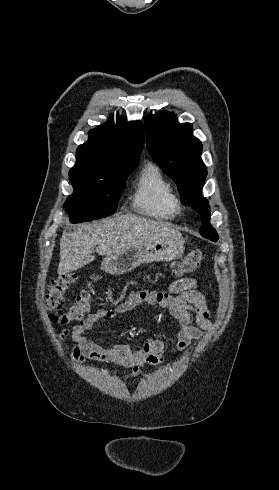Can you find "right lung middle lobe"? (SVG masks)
Listing matches in <instances>:
<instances>
[{
  "instance_id": "obj_1",
  "label": "right lung middle lobe",
  "mask_w": 279,
  "mask_h": 490,
  "mask_svg": "<svg viewBox=\"0 0 279 490\" xmlns=\"http://www.w3.org/2000/svg\"><path fill=\"white\" fill-rule=\"evenodd\" d=\"M136 166L123 167L104 176L86 173L69 174L74 193L65 202L71 223L100 219L113 214L127 175Z\"/></svg>"
}]
</instances>
